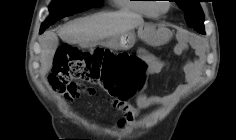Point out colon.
<instances>
[{
  "label": "colon",
  "instance_id": "5ec220e1",
  "mask_svg": "<svg viewBox=\"0 0 236 140\" xmlns=\"http://www.w3.org/2000/svg\"><path fill=\"white\" fill-rule=\"evenodd\" d=\"M146 73V63L138 57L107 49L85 52L65 44L56 52L49 80L67 98L91 94L97 85L112 103H119L142 88Z\"/></svg>",
  "mask_w": 236,
  "mask_h": 140
}]
</instances>
